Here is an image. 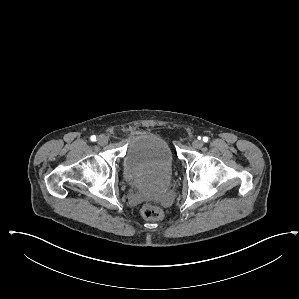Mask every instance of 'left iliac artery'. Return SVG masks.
Returning <instances> with one entry per match:
<instances>
[{"label":"left iliac artery","mask_w":299,"mask_h":299,"mask_svg":"<svg viewBox=\"0 0 299 299\" xmlns=\"http://www.w3.org/2000/svg\"><path fill=\"white\" fill-rule=\"evenodd\" d=\"M203 141H204V142H207V141H208V137H206V136L203 137Z\"/></svg>","instance_id":"obj_1"}]
</instances>
